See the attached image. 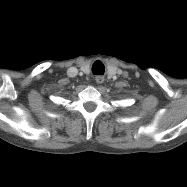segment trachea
<instances>
[{
    "mask_svg": "<svg viewBox=\"0 0 187 187\" xmlns=\"http://www.w3.org/2000/svg\"><path fill=\"white\" fill-rule=\"evenodd\" d=\"M104 70H105L104 65H103V63L100 62V61H96V62L93 64V66H92V72H93L94 74H103V73H104Z\"/></svg>",
    "mask_w": 187,
    "mask_h": 187,
    "instance_id": "trachea-1",
    "label": "trachea"
}]
</instances>
